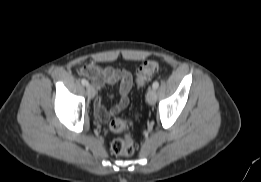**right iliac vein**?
Here are the masks:
<instances>
[{"label": "right iliac vein", "instance_id": "right-iliac-vein-1", "mask_svg": "<svg viewBox=\"0 0 261 182\" xmlns=\"http://www.w3.org/2000/svg\"><path fill=\"white\" fill-rule=\"evenodd\" d=\"M87 95L89 98L93 99L96 95V90L92 85L87 86Z\"/></svg>", "mask_w": 261, "mask_h": 182}]
</instances>
